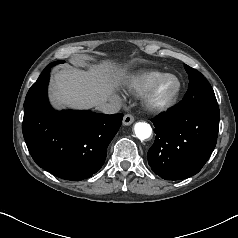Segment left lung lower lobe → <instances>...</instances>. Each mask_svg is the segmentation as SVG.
Returning a JSON list of instances; mask_svg holds the SVG:
<instances>
[{
  "label": "left lung lower lobe",
  "mask_w": 238,
  "mask_h": 238,
  "mask_svg": "<svg viewBox=\"0 0 238 238\" xmlns=\"http://www.w3.org/2000/svg\"><path fill=\"white\" fill-rule=\"evenodd\" d=\"M152 122L156 139L148 151L151 169L166 180H180L197 174L216 145L218 104L204 105L186 113L173 107Z\"/></svg>",
  "instance_id": "0a47b994"
}]
</instances>
